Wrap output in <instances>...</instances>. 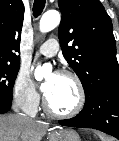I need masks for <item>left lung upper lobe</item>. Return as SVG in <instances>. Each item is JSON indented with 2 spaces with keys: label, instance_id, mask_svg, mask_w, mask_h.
Wrapping results in <instances>:
<instances>
[{
  "label": "left lung upper lobe",
  "instance_id": "5c2ea615",
  "mask_svg": "<svg viewBox=\"0 0 119 141\" xmlns=\"http://www.w3.org/2000/svg\"><path fill=\"white\" fill-rule=\"evenodd\" d=\"M58 4L62 13L58 30L62 52L78 75L85 96L119 85L112 22L101 2L58 0Z\"/></svg>",
  "mask_w": 119,
  "mask_h": 141
}]
</instances>
